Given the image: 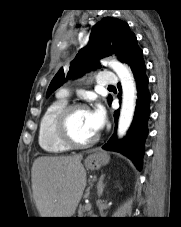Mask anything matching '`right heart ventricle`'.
Here are the masks:
<instances>
[{
	"label": "right heart ventricle",
	"mask_w": 181,
	"mask_h": 227,
	"mask_svg": "<svg viewBox=\"0 0 181 227\" xmlns=\"http://www.w3.org/2000/svg\"><path fill=\"white\" fill-rule=\"evenodd\" d=\"M67 103L66 97L58 95L57 98L47 106L40 118L38 142L40 147L47 153L60 154L70 148L59 140L55 131V119Z\"/></svg>",
	"instance_id": "1"
}]
</instances>
